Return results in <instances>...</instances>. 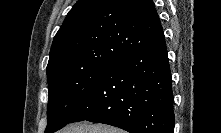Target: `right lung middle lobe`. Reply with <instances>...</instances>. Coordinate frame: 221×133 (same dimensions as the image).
Returning a JSON list of instances; mask_svg holds the SVG:
<instances>
[{"mask_svg":"<svg viewBox=\"0 0 221 133\" xmlns=\"http://www.w3.org/2000/svg\"><path fill=\"white\" fill-rule=\"evenodd\" d=\"M109 66L67 67L47 75L49 101L45 133H53L74 119Z\"/></svg>","mask_w":221,"mask_h":133,"instance_id":"right-lung-middle-lobe-1","label":"right lung middle lobe"}]
</instances>
